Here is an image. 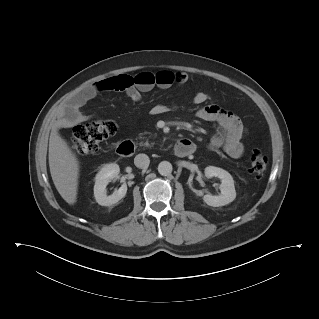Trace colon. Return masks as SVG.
Masks as SVG:
<instances>
[{"label":"colon","instance_id":"colon-1","mask_svg":"<svg viewBox=\"0 0 319 319\" xmlns=\"http://www.w3.org/2000/svg\"><path fill=\"white\" fill-rule=\"evenodd\" d=\"M154 83V74L143 72L137 75L125 86L132 84L150 85ZM117 131V125L111 120H97L79 125L74 129L71 147L78 155L94 153L100 144L113 136ZM268 165L267 157L260 151L253 152L250 156V170L256 178L262 177Z\"/></svg>","mask_w":319,"mask_h":319}]
</instances>
